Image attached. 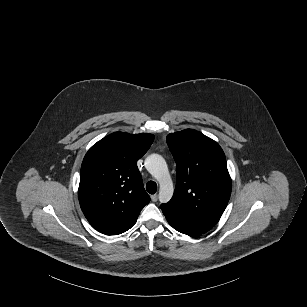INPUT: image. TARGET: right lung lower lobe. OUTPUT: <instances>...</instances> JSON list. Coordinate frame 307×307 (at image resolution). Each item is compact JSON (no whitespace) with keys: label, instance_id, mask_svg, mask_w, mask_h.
Segmentation results:
<instances>
[{"label":"right lung lower lobe","instance_id":"obj_1","mask_svg":"<svg viewBox=\"0 0 307 307\" xmlns=\"http://www.w3.org/2000/svg\"><path fill=\"white\" fill-rule=\"evenodd\" d=\"M134 224H135V223H134ZM134 224H133V225H134ZM133 225H132V226H133ZM132 226H131V227H132ZM131 227H130V228H131ZM130 228H128V229H130ZM128 229H127V230H128ZM127 230H126V231H127ZM124 232H125V231H124Z\"/></svg>","mask_w":307,"mask_h":307}]
</instances>
